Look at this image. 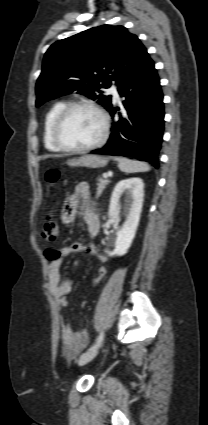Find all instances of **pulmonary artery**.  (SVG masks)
Returning a JSON list of instances; mask_svg holds the SVG:
<instances>
[{
    "mask_svg": "<svg viewBox=\"0 0 208 425\" xmlns=\"http://www.w3.org/2000/svg\"><path fill=\"white\" fill-rule=\"evenodd\" d=\"M109 92L113 95L114 99H119V94L115 87H111Z\"/></svg>",
    "mask_w": 208,
    "mask_h": 425,
    "instance_id": "e3ab8cb5",
    "label": "pulmonary artery"
}]
</instances>
